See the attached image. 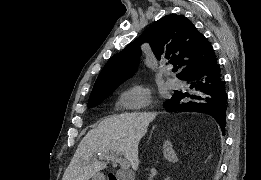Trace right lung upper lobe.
Listing matches in <instances>:
<instances>
[{"label":"right lung upper lobe","instance_id":"obj_1","mask_svg":"<svg viewBox=\"0 0 261 180\" xmlns=\"http://www.w3.org/2000/svg\"><path fill=\"white\" fill-rule=\"evenodd\" d=\"M144 42L150 44L158 59L176 64L182 69L177 75L179 79L216 61L211 44L185 16L166 15L123 51L110 58L99 74L90 98L112 93L136 72L141 56L140 45Z\"/></svg>","mask_w":261,"mask_h":180}]
</instances>
